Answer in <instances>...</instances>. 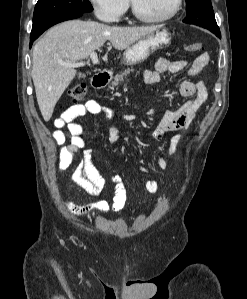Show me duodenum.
<instances>
[{
	"instance_id": "1",
	"label": "duodenum",
	"mask_w": 247,
	"mask_h": 299,
	"mask_svg": "<svg viewBox=\"0 0 247 299\" xmlns=\"http://www.w3.org/2000/svg\"><path fill=\"white\" fill-rule=\"evenodd\" d=\"M110 75L109 70H103L95 74L92 78L93 87L96 89L103 88L108 83Z\"/></svg>"
}]
</instances>
